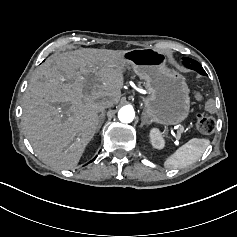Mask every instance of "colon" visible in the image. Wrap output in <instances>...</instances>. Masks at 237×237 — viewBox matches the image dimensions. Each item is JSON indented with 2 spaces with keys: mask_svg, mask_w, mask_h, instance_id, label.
<instances>
[{
  "mask_svg": "<svg viewBox=\"0 0 237 237\" xmlns=\"http://www.w3.org/2000/svg\"><path fill=\"white\" fill-rule=\"evenodd\" d=\"M206 107L208 110H213L216 104L213 100L207 102ZM216 127V121L212 116L199 115L196 121V128L202 134H211Z\"/></svg>",
  "mask_w": 237,
  "mask_h": 237,
  "instance_id": "obj_1",
  "label": "colon"
}]
</instances>
